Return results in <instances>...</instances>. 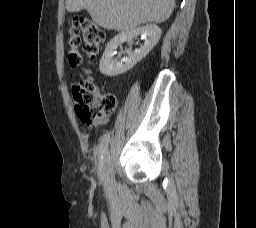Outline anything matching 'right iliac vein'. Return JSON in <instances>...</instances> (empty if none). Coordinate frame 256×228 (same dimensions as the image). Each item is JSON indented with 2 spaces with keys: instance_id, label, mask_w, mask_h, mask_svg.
<instances>
[{
  "instance_id": "obj_1",
  "label": "right iliac vein",
  "mask_w": 256,
  "mask_h": 228,
  "mask_svg": "<svg viewBox=\"0 0 256 228\" xmlns=\"http://www.w3.org/2000/svg\"><path fill=\"white\" fill-rule=\"evenodd\" d=\"M106 147L107 151H105V153L103 154L104 158L108 157V151H110L111 144L107 143ZM103 166H106V160H103ZM102 179L109 186H113L115 183L112 173L106 167H104L102 170Z\"/></svg>"
}]
</instances>
